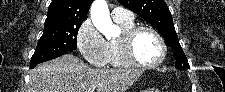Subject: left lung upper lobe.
I'll list each match as a JSON object with an SVG mask.
<instances>
[{
    "label": "left lung upper lobe",
    "instance_id": "obj_1",
    "mask_svg": "<svg viewBox=\"0 0 225 92\" xmlns=\"http://www.w3.org/2000/svg\"><path fill=\"white\" fill-rule=\"evenodd\" d=\"M118 2L145 19L162 34L167 44L174 50L176 68H190L178 41L172 15L164 0H118Z\"/></svg>",
    "mask_w": 225,
    "mask_h": 92
}]
</instances>
